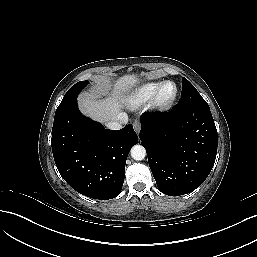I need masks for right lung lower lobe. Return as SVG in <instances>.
Segmentation results:
<instances>
[{
    "instance_id": "right-lung-lower-lobe-1",
    "label": "right lung lower lobe",
    "mask_w": 257,
    "mask_h": 257,
    "mask_svg": "<svg viewBox=\"0 0 257 257\" xmlns=\"http://www.w3.org/2000/svg\"><path fill=\"white\" fill-rule=\"evenodd\" d=\"M137 142L131 124L105 129L81 115L77 102L54 117L51 146L58 171L75 191L90 198L108 200L120 193L126 159Z\"/></svg>"
}]
</instances>
